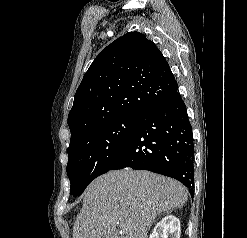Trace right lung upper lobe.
I'll return each instance as SVG.
<instances>
[{
    "label": "right lung upper lobe",
    "instance_id": "obj_1",
    "mask_svg": "<svg viewBox=\"0 0 247 238\" xmlns=\"http://www.w3.org/2000/svg\"><path fill=\"white\" fill-rule=\"evenodd\" d=\"M178 84L160 50L128 32L102 50L85 73L68 116L70 142L124 115H142L171 97Z\"/></svg>",
    "mask_w": 247,
    "mask_h": 238
}]
</instances>
